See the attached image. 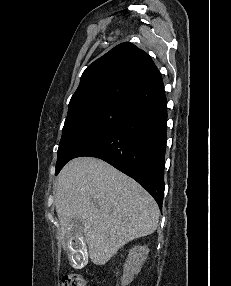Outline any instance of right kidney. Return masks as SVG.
<instances>
[{"instance_id": "right-kidney-1", "label": "right kidney", "mask_w": 231, "mask_h": 286, "mask_svg": "<svg viewBox=\"0 0 231 286\" xmlns=\"http://www.w3.org/2000/svg\"><path fill=\"white\" fill-rule=\"evenodd\" d=\"M148 254L149 248L147 246H136L129 251L128 258L123 266L121 286H127L133 281L134 275L140 272Z\"/></svg>"}]
</instances>
